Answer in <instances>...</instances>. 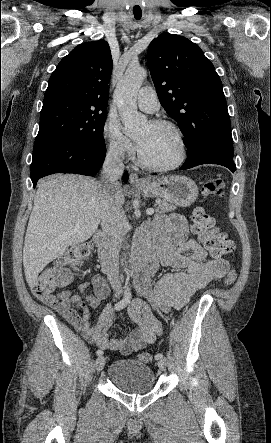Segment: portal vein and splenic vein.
<instances>
[{
    "mask_svg": "<svg viewBox=\"0 0 271 443\" xmlns=\"http://www.w3.org/2000/svg\"><path fill=\"white\" fill-rule=\"evenodd\" d=\"M147 214L148 216H152V214H154V210H147Z\"/></svg>",
    "mask_w": 271,
    "mask_h": 443,
    "instance_id": "1",
    "label": "portal vein and splenic vein"
}]
</instances>
